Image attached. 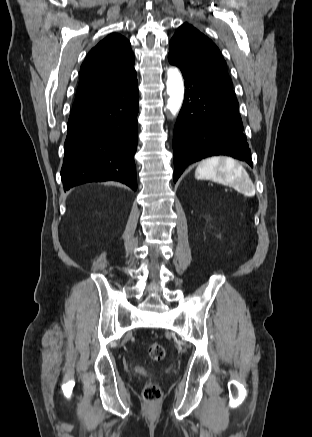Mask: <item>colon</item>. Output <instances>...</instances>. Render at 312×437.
<instances>
[{"mask_svg":"<svg viewBox=\"0 0 312 437\" xmlns=\"http://www.w3.org/2000/svg\"><path fill=\"white\" fill-rule=\"evenodd\" d=\"M146 351L148 356L153 361H161L165 357V349L162 344L158 342H148L146 344ZM143 397L148 402H155L161 398V390L155 383H149L143 390Z\"/></svg>","mask_w":312,"mask_h":437,"instance_id":"5ec220e1","label":"colon"}]
</instances>
